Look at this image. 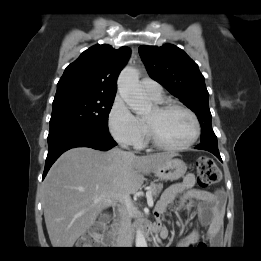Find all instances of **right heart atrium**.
<instances>
[{
  "instance_id": "1",
  "label": "right heart atrium",
  "mask_w": 261,
  "mask_h": 261,
  "mask_svg": "<svg viewBox=\"0 0 261 261\" xmlns=\"http://www.w3.org/2000/svg\"><path fill=\"white\" fill-rule=\"evenodd\" d=\"M108 126L113 138L121 145L135 148L143 145L144 123L131 112L121 98H116L111 106Z\"/></svg>"
}]
</instances>
